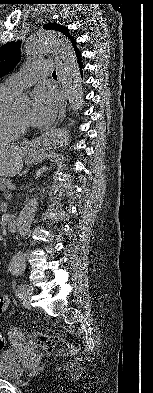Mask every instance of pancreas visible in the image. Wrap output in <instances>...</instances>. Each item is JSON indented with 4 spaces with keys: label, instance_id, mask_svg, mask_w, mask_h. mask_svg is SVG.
Listing matches in <instances>:
<instances>
[{
    "label": "pancreas",
    "instance_id": "cf45deb5",
    "mask_svg": "<svg viewBox=\"0 0 153 393\" xmlns=\"http://www.w3.org/2000/svg\"><path fill=\"white\" fill-rule=\"evenodd\" d=\"M12 185L10 178H0V191L7 192Z\"/></svg>",
    "mask_w": 153,
    "mask_h": 393
}]
</instances>
